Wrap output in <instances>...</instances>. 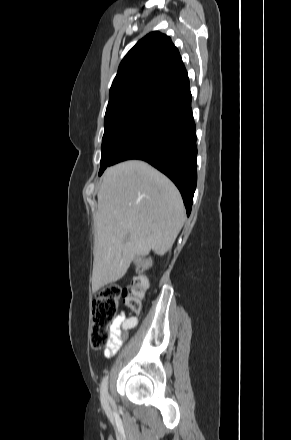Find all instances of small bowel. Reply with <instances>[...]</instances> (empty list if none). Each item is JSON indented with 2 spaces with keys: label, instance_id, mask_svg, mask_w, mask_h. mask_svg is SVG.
Segmentation results:
<instances>
[{
  "label": "small bowel",
  "instance_id": "1",
  "mask_svg": "<svg viewBox=\"0 0 291 440\" xmlns=\"http://www.w3.org/2000/svg\"><path fill=\"white\" fill-rule=\"evenodd\" d=\"M137 318L128 316L125 312L120 313L110 326V343L105 348L104 354L106 356L114 355L121 343V333L124 330H129L137 325Z\"/></svg>",
  "mask_w": 291,
  "mask_h": 440
}]
</instances>
